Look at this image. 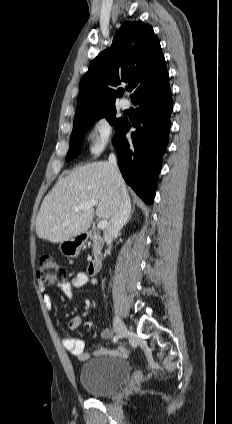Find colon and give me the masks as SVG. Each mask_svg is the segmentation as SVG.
Wrapping results in <instances>:
<instances>
[{"label": "colon", "mask_w": 232, "mask_h": 424, "mask_svg": "<svg viewBox=\"0 0 232 424\" xmlns=\"http://www.w3.org/2000/svg\"><path fill=\"white\" fill-rule=\"evenodd\" d=\"M66 268L59 264L52 254H42L39 257L37 280L42 286L54 285L67 278Z\"/></svg>", "instance_id": "1"}]
</instances>
